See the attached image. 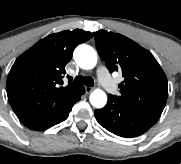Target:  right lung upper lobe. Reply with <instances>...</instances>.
I'll list each match as a JSON object with an SVG mask.
<instances>
[{"label":"right lung upper lobe","mask_w":181,"mask_h":164,"mask_svg":"<svg viewBox=\"0 0 181 164\" xmlns=\"http://www.w3.org/2000/svg\"><path fill=\"white\" fill-rule=\"evenodd\" d=\"M81 29L51 34L20 55L7 79L8 101L15 114L46 113L62 106L82 87H60L75 47L89 40Z\"/></svg>","instance_id":"obj_1"}]
</instances>
